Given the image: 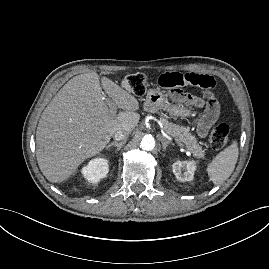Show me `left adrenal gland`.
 Segmentation results:
<instances>
[{
	"label": "left adrenal gland",
	"mask_w": 269,
	"mask_h": 269,
	"mask_svg": "<svg viewBox=\"0 0 269 269\" xmlns=\"http://www.w3.org/2000/svg\"><path fill=\"white\" fill-rule=\"evenodd\" d=\"M160 140H161V143H162L163 151L166 150V148L168 147V145H170V144L171 145H174V143H172L171 141L167 140L164 137H161Z\"/></svg>",
	"instance_id": "a2214340"
}]
</instances>
